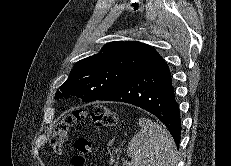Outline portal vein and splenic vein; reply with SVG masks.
Returning <instances> with one entry per match:
<instances>
[{
	"mask_svg": "<svg viewBox=\"0 0 231 166\" xmlns=\"http://www.w3.org/2000/svg\"><path fill=\"white\" fill-rule=\"evenodd\" d=\"M128 166H131V164H130V163H128Z\"/></svg>",
	"mask_w": 231,
	"mask_h": 166,
	"instance_id": "obj_1",
	"label": "portal vein and splenic vein"
}]
</instances>
